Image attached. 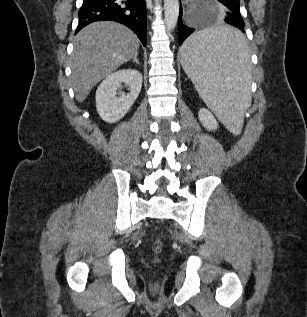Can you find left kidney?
I'll return each instance as SVG.
<instances>
[{
	"label": "left kidney",
	"instance_id": "left-kidney-1",
	"mask_svg": "<svg viewBox=\"0 0 307 317\" xmlns=\"http://www.w3.org/2000/svg\"><path fill=\"white\" fill-rule=\"evenodd\" d=\"M199 120L202 125L208 130H216L218 128V123L213 116V114L206 108H202L198 113Z\"/></svg>",
	"mask_w": 307,
	"mask_h": 317
}]
</instances>
